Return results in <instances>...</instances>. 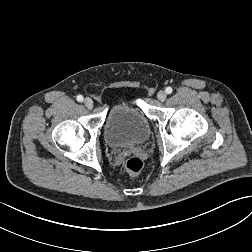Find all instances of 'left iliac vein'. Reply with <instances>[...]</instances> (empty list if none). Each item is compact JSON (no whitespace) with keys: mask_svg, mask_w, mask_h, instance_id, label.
<instances>
[{"mask_svg":"<svg viewBox=\"0 0 252 252\" xmlns=\"http://www.w3.org/2000/svg\"><path fill=\"white\" fill-rule=\"evenodd\" d=\"M157 98L159 99V101L163 102L166 100L167 98V94L165 91H159L157 94Z\"/></svg>","mask_w":252,"mask_h":252,"instance_id":"left-iliac-vein-1","label":"left iliac vein"}]
</instances>
